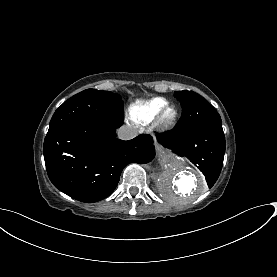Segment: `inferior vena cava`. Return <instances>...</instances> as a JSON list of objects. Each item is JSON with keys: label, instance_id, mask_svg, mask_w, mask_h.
I'll use <instances>...</instances> for the list:
<instances>
[{"label": "inferior vena cava", "instance_id": "obj_1", "mask_svg": "<svg viewBox=\"0 0 277 277\" xmlns=\"http://www.w3.org/2000/svg\"><path fill=\"white\" fill-rule=\"evenodd\" d=\"M117 135H118L119 139H122V140H131V139L137 137V131L133 127L121 126L117 130Z\"/></svg>", "mask_w": 277, "mask_h": 277}]
</instances>
